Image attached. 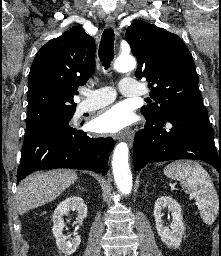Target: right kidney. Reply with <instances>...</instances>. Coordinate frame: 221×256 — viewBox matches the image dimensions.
<instances>
[{"label":"right kidney","mask_w":221,"mask_h":256,"mask_svg":"<svg viewBox=\"0 0 221 256\" xmlns=\"http://www.w3.org/2000/svg\"><path fill=\"white\" fill-rule=\"evenodd\" d=\"M70 210L77 212V220L80 225H82L83 220L87 216V206L85 205L83 199L78 196L68 197L55 209L52 216V231L56 239L58 249L65 254V256H70L73 254L81 243V237L77 233H74V237L70 240H68V237L63 234V228L65 227L63 216Z\"/></svg>","instance_id":"obj_1"}]
</instances>
